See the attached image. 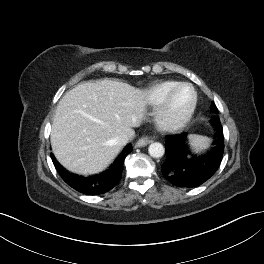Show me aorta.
<instances>
[{
    "instance_id": "aorta-1",
    "label": "aorta",
    "mask_w": 264,
    "mask_h": 264,
    "mask_svg": "<svg viewBox=\"0 0 264 264\" xmlns=\"http://www.w3.org/2000/svg\"><path fill=\"white\" fill-rule=\"evenodd\" d=\"M148 152L154 158H161L165 153V149L161 143L154 142L149 145Z\"/></svg>"
}]
</instances>
